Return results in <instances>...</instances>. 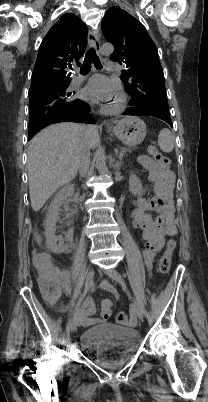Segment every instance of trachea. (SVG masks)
<instances>
[{"label": "trachea", "mask_w": 208, "mask_h": 402, "mask_svg": "<svg viewBox=\"0 0 208 402\" xmlns=\"http://www.w3.org/2000/svg\"><path fill=\"white\" fill-rule=\"evenodd\" d=\"M92 63L94 64V66L97 69L102 68V64L99 60L98 55L96 54L95 49L93 47H90V49L87 51V53L85 55L84 62L80 68L81 74H83V75L87 74L91 69Z\"/></svg>", "instance_id": "trachea-1"}]
</instances>
